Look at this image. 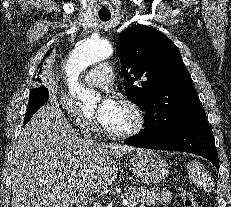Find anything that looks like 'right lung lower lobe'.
I'll list each match as a JSON object with an SVG mask.
<instances>
[{
	"label": "right lung lower lobe",
	"instance_id": "obj_1",
	"mask_svg": "<svg viewBox=\"0 0 231 207\" xmlns=\"http://www.w3.org/2000/svg\"><path fill=\"white\" fill-rule=\"evenodd\" d=\"M49 93L45 88L42 92H39L32 101L28 102L27 112L24 118V124L28 123L33 114L42 107L48 101Z\"/></svg>",
	"mask_w": 231,
	"mask_h": 207
}]
</instances>
